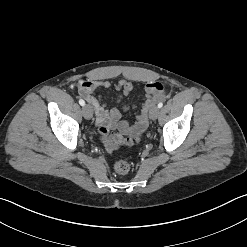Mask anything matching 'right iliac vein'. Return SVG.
<instances>
[{
    "instance_id": "right-iliac-vein-1",
    "label": "right iliac vein",
    "mask_w": 247,
    "mask_h": 247,
    "mask_svg": "<svg viewBox=\"0 0 247 247\" xmlns=\"http://www.w3.org/2000/svg\"><path fill=\"white\" fill-rule=\"evenodd\" d=\"M82 113H83L84 118L86 119H91L93 115L92 108L89 105H84L82 109Z\"/></svg>"
}]
</instances>
